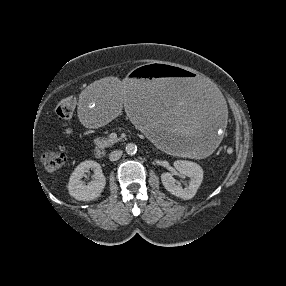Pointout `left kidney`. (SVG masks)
I'll return each instance as SVG.
<instances>
[{
	"mask_svg": "<svg viewBox=\"0 0 286 286\" xmlns=\"http://www.w3.org/2000/svg\"><path fill=\"white\" fill-rule=\"evenodd\" d=\"M173 165L178 172L190 178L189 186L182 188L180 185H177L173 173L170 172L161 174L163 186L176 197L185 200L193 198L203 180L202 168L199 164L186 160H177Z\"/></svg>",
	"mask_w": 286,
	"mask_h": 286,
	"instance_id": "5707ae66",
	"label": "left kidney"
}]
</instances>
